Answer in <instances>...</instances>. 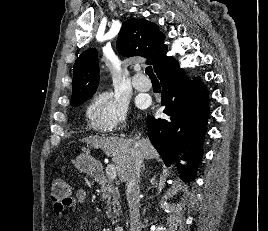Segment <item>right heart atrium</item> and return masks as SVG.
I'll use <instances>...</instances> for the list:
<instances>
[{
  "label": "right heart atrium",
  "mask_w": 268,
  "mask_h": 231,
  "mask_svg": "<svg viewBox=\"0 0 268 231\" xmlns=\"http://www.w3.org/2000/svg\"><path fill=\"white\" fill-rule=\"evenodd\" d=\"M90 125L101 133L119 131L127 117V103L111 90L98 92L87 107Z\"/></svg>",
  "instance_id": "obj_1"
}]
</instances>
